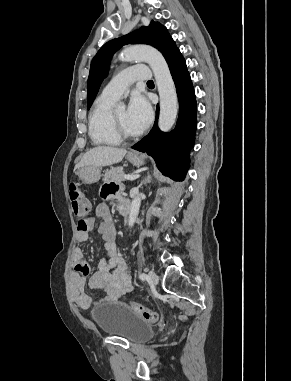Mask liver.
Here are the masks:
<instances>
[{
  "label": "liver",
  "instance_id": "6515ba94",
  "mask_svg": "<svg viewBox=\"0 0 291 381\" xmlns=\"http://www.w3.org/2000/svg\"><path fill=\"white\" fill-rule=\"evenodd\" d=\"M126 149H120L111 146H99L87 151L74 169L87 166L103 167L119 163L125 154Z\"/></svg>",
  "mask_w": 291,
  "mask_h": 381
}]
</instances>
